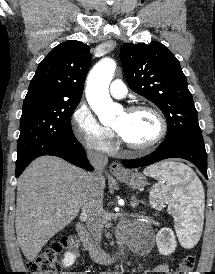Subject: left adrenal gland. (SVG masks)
<instances>
[{"instance_id": "1", "label": "left adrenal gland", "mask_w": 215, "mask_h": 274, "mask_svg": "<svg viewBox=\"0 0 215 274\" xmlns=\"http://www.w3.org/2000/svg\"><path fill=\"white\" fill-rule=\"evenodd\" d=\"M139 203L140 201L136 199L135 195H132L131 202H130L131 206L135 208L139 205Z\"/></svg>"}]
</instances>
